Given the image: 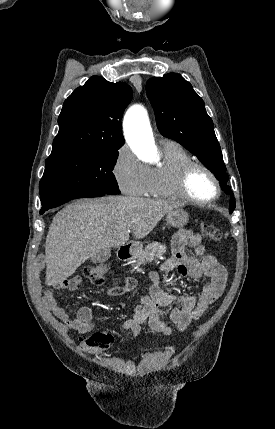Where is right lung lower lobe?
<instances>
[{"instance_id":"98d812e1","label":"right lung lower lobe","mask_w":275,"mask_h":429,"mask_svg":"<svg viewBox=\"0 0 275 429\" xmlns=\"http://www.w3.org/2000/svg\"><path fill=\"white\" fill-rule=\"evenodd\" d=\"M104 195H105L104 193L86 192V191H71L67 193H62L43 200L41 202L42 208L40 210V214H43L46 210L60 206L61 204L72 199L83 198V197H100Z\"/></svg>"}]
</instances>
